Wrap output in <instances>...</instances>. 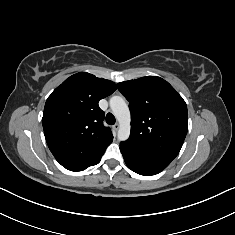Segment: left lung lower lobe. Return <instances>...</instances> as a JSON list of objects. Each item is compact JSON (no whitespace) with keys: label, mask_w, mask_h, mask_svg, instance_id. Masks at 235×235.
<instances>
[{"label":"left lung lower lobe","mask_w":235,"mask_h":235,"mask_svg":"<svg viewBox=\"0 0 235 235\" xmlns=\"http://www.w3.org/2000/svg\"><path fill=\"white\" fill-rule=\"evenodd\" d=\"M120 150L126 165L134 172L150 176L155 175L165 169L170 163L139 150L131 148L127 143H120Z\"/></svg>","instance_id":"obj_1"}]
</instances>
